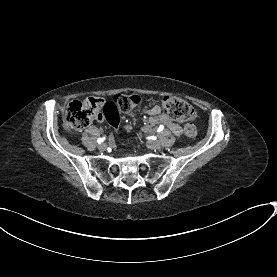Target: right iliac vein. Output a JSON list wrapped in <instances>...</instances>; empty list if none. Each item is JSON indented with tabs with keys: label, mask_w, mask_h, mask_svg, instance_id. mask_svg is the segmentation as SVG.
I'll list each match as a JSON object with an SVG mask.
<instances>
[{
	"label": "right iliac vein",
	"mask_w": 277,
	"mask_h": 277,
	"mask_svg": "<svg viewBox=\"0 0 277 277\" xmlns=\"http://www.w3.org/2000/svg\"><path fill=\"white\" fill-rule=\"evenodd\" d=\"M106 147H107V145H106L105 143H102V144H100V145L98 146V149H99L100 151H104V150H106Z\"/></svg>",
	"instance_id": "1"
}]
</instances>
